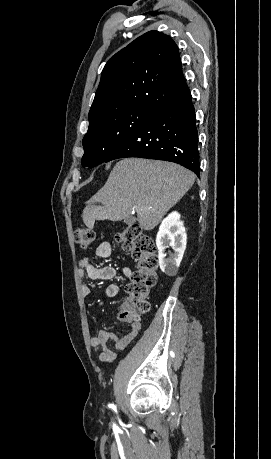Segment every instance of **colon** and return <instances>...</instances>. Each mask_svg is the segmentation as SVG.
I'll use <instances>...</instances> for the list:
<instances>
[{
  "label": "colon",
  "mask_w": 271,
  "mask_h": 459,
  "mask_svg": "<svg viewBox=\"0 0 271 459\" xmlns=\"http://www.w3.org/2000/svg\"><path fill=\"white\" fill-rule=\"evenodd\" d=\"M95 239V232L87 227L74 231L75 242L83 249L89 248ZM123 250L131 253L137 261V270L125 287L126 301L120 307V314L132 322L150 310L149 296L157 279L159 259L156 247L150 236L139 225H130L116 236Z\"/></svg>",
  "instance_id": "5ec220e1"
}]
</instances>
